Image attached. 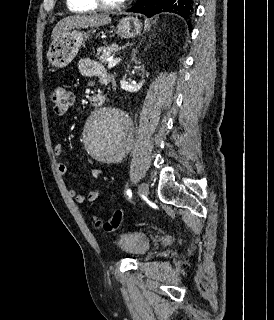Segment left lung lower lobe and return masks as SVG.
Listing matches in <instances>:
<instances>
[{
	"label": "left lung lower lobe",
	"mask_w": 274,
	"mask_h": 320,
	"mask_svg": "<svg viewBox=\"0 0 274 320\" xmlns=\"http://www.w3.org/2000/svg\"><path fill=\"white\" fill-rule=\"evenodd\" d=\"M194 6V0H137L128 12L142 13L147 17L160 12L176 13L187 19L189 29L191 30L189 19L194 12Z\"/></svg>",
	"instance_id": "1"
}]
</instances>
